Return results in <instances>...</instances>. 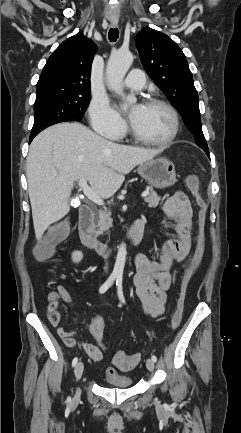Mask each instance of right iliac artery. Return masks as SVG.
I'll list each match as a JSON object with an SVG mask.
<instances>
[{
  "label": "right iliac artery",
  "mask_w": 241,
  "mask_h": 433,
  "mask_svg": "<svg viewBox=\"0 0 241 433\" xmlns=\"http://www.w3.org/2000/svg\"><path fill=\"white\" fill-rule=\"evenodd\" d=\"M117 276L116 275H111L108 280L100 287L99 292L101 294L105 293L109 287L113 284V282L116 280ZM78 362V358L75 357L72 361V366L74 367ZM70 399V398H68Z\"/></svg>",
  "instance_id": "1"
}]
</instances>
